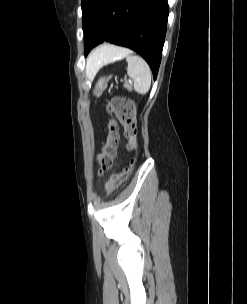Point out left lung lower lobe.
<instances>
[{
    "label": "left lung lower lobe",
    "mask_w": 247,
    "mask_h": 304,
    "mask_svg": "<svg viewBox=\"0 0 247 304\" xmlns=\"http://www.w3.org/2000/svg\"><path fill=\"white\" fill-rule=\"evenodd\" d=\"M168 14L167 0H104L97 17L83 29L85 56L104 40L125 46L147 61L156 79Z\"/></svg>",
    "instance_id": "obj_1"
}]
</instances>
